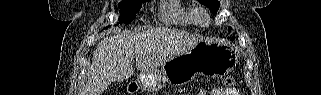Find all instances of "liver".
I'll list each match as a JSON object with an SVG mask.
<instances>
[{
  "label": "liver",
  "instance_id": "liver-1",
  "mask_svg": "<svg viewBox=\"0 0 321 95\" xmlns=\"http://www.w3.org/2000/svg\"><path fill=\"white\" fill-rule=\"evenodd\" d=\"M202 40L201 37L166 28L107 36L93 53L92 65L79 95H102L112 82L131 77L134 73L133 58H136L137 70L155 71L173 58L172 54L187 52Z\"/></svg>",
  "mask_w": 321,
  "mask_h": 95
}]
</instances>
